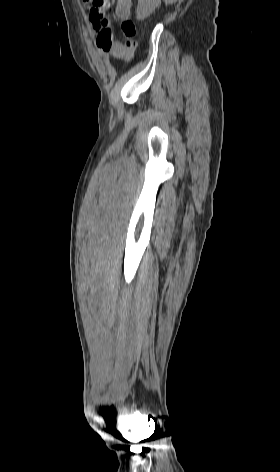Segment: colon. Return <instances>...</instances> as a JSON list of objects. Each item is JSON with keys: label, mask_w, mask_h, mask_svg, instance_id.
Segmentation results:
<instances>
[{"label": "colon", "mask_w": 280, "mask_h": 472, "mask_svg": "<svg viewBox=\"0 0 280 472\" xmlns=\"http://www.w3.org/2000/svg\"><path fill=\"white\" fill-rule=\"evenodd\" d=\"M92 2L90 11V20L93 23L101 26L108 24L106 18V11L108 7L114 2V0H89ZM121 29L126 38V44L130 48H134L135 42L134 37L136 35V26L131 19H124L121 22Z\"/></svg>", "instance_id": "obj_1"}]
</instances>
